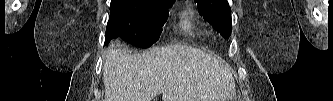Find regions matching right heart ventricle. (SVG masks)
I'll use <instances>...</instances> for the list:
<instances>
[{
  "label": "right heart ventricle",
  "mask_w": 333,
  "mask_h": 101,
  "mask_svg": "<svg viewBox=\"0 0 333 101\" xmlns=\"http://www.w3.org/2000/svg\"><path fill=\"white\" fill-rule=\"evenodd\" d=\"M200 25V21L195 16V13L188 9L186 10L179 19V26L185 33L191 34Z\"/></svg>",
  "instance_id": "e07e8e85"
}]
</instances>
